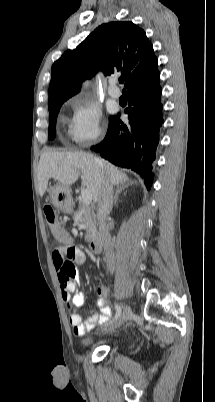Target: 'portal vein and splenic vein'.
Listing matches in <instances>:
<instances>
[{"mask_svg":"<svg viewBox=\"0 0 215 402\" xmlns=\"http://www.w3.org/2000/svg\"><path fill=\"white\" fill-rule=\"evenodd\" d=\"M81 198L85 206H88L92 202V195L88 189L81 190Z\"/></svg>","mask_w":215,"mask_h":402,"instance_id":"1","label":"portal vein and splenic vein"}]
</instances>
